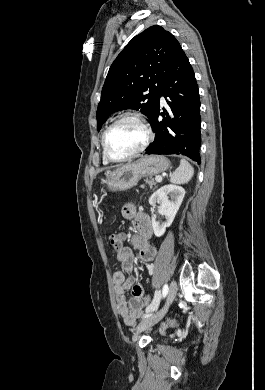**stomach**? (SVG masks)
<instances>
[{
	"label": "stomach",
	"mask_w": 265,
	"mask_h": 390,
	"mask_svg": "<svg viewBox=\"0 0 265 390\" xmlns=\"http://www.w3.org/2000/svg\"><path fill=\"white\" fill-rule=\"evenodd\" d=\"M169 166L170 161L164 156H144L136 162L123 165L110 172L104 182L111 191H124L135 186L140 178L160 174ZM102 192L105 196V190Z\"/></svg>",
	"instance_id": "0dacf381"
}]
</instances>
